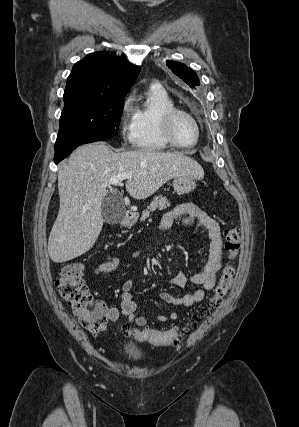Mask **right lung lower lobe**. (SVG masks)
I'll use <instances>...</instances> for the list:
<instances>
[{
  "mask_svg": "<svg viewBox=\"0 0 299 427\" xmlns=\"http://www.w3.org/2000/svg\"><path fill=\"white\" fill-rule=\"evenodd\" d=\"M95 141H98V140L77 141L70 145H66L61 148L55 149L54 162L56 164L59 163L61 160L67 157L76 147L82 144L91 143Z\"/></svg>",
  "mask_w": 299,
  "mask_h": 427,
  "instance_id": "98d812e1",
  "label": "right lung lower lobe"
}]
</instances>
